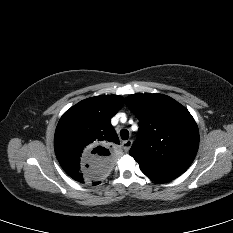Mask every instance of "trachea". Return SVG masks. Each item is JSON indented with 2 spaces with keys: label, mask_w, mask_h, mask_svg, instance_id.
<instances>
[{
  "label": "trachea",
  "mask_w": 233,
  "mask_h": 233,
  "mask_svg": "<svg viewBox=\"0 0 233 233\" xmlns=\"http://www.w3.org/2000/svg\"><path fill=\"white\" fill-rule=\"evenodd\" d=\"M120 136H121V138H122L123 140H127L128 137H129V132H128V130L122 129V130L120 131Z\"/></svg>",
  "instance_id": "3493384b"
}]
</instances>
